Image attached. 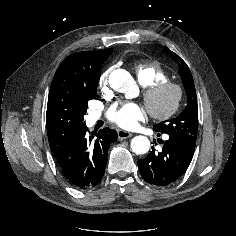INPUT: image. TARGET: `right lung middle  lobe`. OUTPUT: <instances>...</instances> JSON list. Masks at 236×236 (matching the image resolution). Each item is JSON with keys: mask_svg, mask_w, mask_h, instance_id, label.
<instances>
[{"mask_svg": "<svg viewBox=\"0 0 236 236\" xmlns=\"http://www.w3.org/2000/svg\"><path fill=\"white\" fill-rule=\"evenodd\" d=\"M112 49L103 50L100 55L97 57V62L99 66V70L101 68L102 63L109 57ZM100 79V73H97L94 77L86 80V82L82 83L77 89L78 100L81 108V113L84 116L86 110L88 108L87 103L89 100L96 97L97 94V85Z\"/></svg>", "mask_w": 236, "mask_h": 236, "instance_id": "1", "label": "right lung middle lobe"}]
</instances>
